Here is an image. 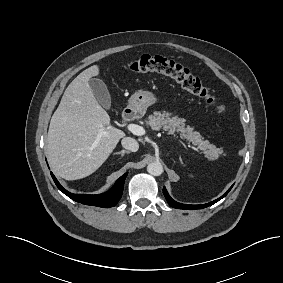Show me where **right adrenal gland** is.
<instances>
[{"label": "right adrenal gland", "mask_w": 283, "mask_h": 283, "mask_svg": "<svg viewBox=\"0 0 283 283\" xmlns=\"http://www.w3.org/2000/svg\"><path fill=\"white\" fill-rule=\"evenodd\" d=\"M127 153L129 154L130 151H126V150H121L120 152H116L115 155H121V158L124 156V154Z\"/></svg>", "instance_id": "1"}]
</instances>
